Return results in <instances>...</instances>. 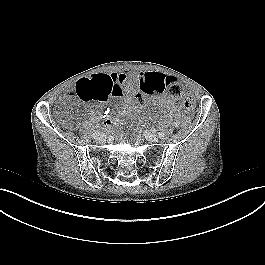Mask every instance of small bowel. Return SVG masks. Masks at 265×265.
I'll return each instance as SVG.
<instances>
[{
	"label": "small bowel",
	"instance_id": "c3829d8e",
	"mask_svg": "<svg viewBox=\"0 0 265 265\" xmlns=\"http://www.w3.org/2000/svg\"><path fill=\"white\" fill-rule=\"evenodd\" d=\"M167 75L160 71H144L138 75L130 74H96L91 77L83 78L88 81L94 79H106L111 87V94L116 97H121L125 93L151 97L149 105H154L159 108H165L169 112L174 113L178 109V104L171 100L166 94V83L164 79ZM72 88L69 90L71 91ZM126 103H130V97H126ZM143 104V100L141 105ZM90 118L93 121H98L101 118V114L97 111L90 113ZM117 119H107L104 121L103 126L105 128H113L117 125Z\"/></svg>",
	"mask_w": 265,
	"mask_h": 265
}]
</instances>
